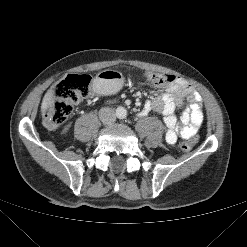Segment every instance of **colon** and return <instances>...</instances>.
<instances>
[{
  "label": "colon",
  "mask_w": 247,
  "mask_h": 247,
  "mask_svg": "<svg viewBox=\"0 0 247 247\" xmlns=\"http://www.w3.org/2000/svg\"><path fill=\"white\" fill-rule=\"evenodd\" d=\"M143 78L156 86L175 80V76L153 72L144 73ZM90 83L88 75L69 74L55 85L44 112V123L47 128H55L72 116L75 106L89 95ZM197 141L198 137H193L181 142L179 146L181 150L189 151Z\"/></svg>",
  "instance_id": "colon-1"
}]
</instances>
